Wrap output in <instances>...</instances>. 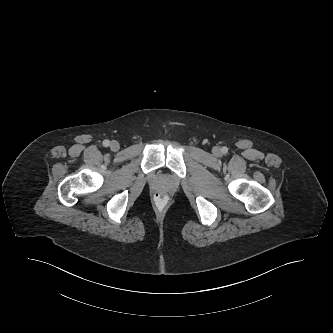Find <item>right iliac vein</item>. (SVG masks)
Wrapping results in <instances>:
<instances>
[{"mask_svg":"<svg viewBox=\"0 0 333 333\" xmlns=\"http://www.w3.org/2000/svg\"><path fill=\"white\" fill-rule=\"evenodd\" d=\"M110 148H111L112 151H118L119 148H120V145L117 141H112L110 143Z\"/></svg>","mask_w":333,"mask_h":333,"instance_id":"63e3f726","label":"right iliac vein"}]
</instances>
